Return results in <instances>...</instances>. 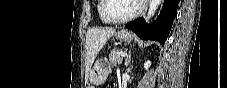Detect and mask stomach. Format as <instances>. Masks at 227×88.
Listing matches in <instances>:
<instances>
[{"mask_svg": "<svg viewBox=\"0 0 227 88\" xmlns=\"http://www.w3.org/2000/svg\"><path fill=\"white\" fill-rule=\"evenodd\" d=\"M116 37L123 42H131L133 34L127 29H122ZM108 67L103 65V61H97L89 72V81L94 85L103 84L108 76Z\"/></svg>", "mask_w": 227, "mask_h": 88, "instance_id": "stomach-1", "label": "stomach"}]
</instances>
